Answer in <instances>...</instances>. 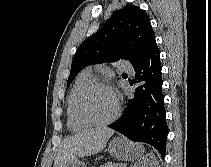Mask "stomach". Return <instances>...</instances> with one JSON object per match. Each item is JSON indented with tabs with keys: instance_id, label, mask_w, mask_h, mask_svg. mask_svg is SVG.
<instances>
[{
	"instance_id": "1",
	"label": "stomach",
	"mask_w": 211,
	"mask_h": 167,
	"mask_svg": "<svg viewBox=\"0 0 211 167\" xmlns=\"http://www.w3.org/2000/svg\"><path fill=\"white\" fill-rule=\"evenodd\" d=\"M107 150L111 156L124 161L135 160L144 152L142 145L134 144L119 137L109 142ZM64 167H86V164L81 160H75Z\"/></svg>"
}]
</instances>
